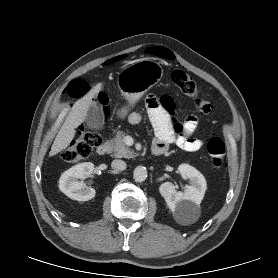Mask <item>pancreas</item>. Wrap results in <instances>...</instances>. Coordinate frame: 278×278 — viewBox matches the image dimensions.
Masks as SVG:
<instances>
[{
    "label": "pancreas",
    "instance_id": "pancreas-1",
    "mask_svg": "<svg viewBox=\"0 0 278 278\" xmlns=\"http://www.w3.org/2000/svg\"><path fill=\"white\" fill-rule=\"evenodd\" d=\"M125 133L118 131L115 138L112 140L111 152L114 153L115 157L119 158H133L134 152L125 145L124 143Z\"/></svg>",
    "mask_w": 278,
    "mask_h": 278
}]
</instances>
